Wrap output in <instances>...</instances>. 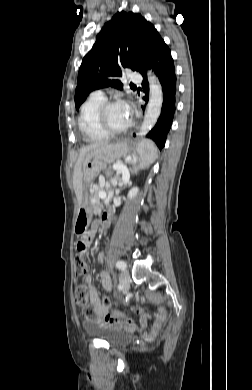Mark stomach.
<instances>
[{"label":"stomach","mask_w":252,"mask_h":390,"mask_svg":"<svg viewBox=\"0 0 252 390\" xmlns=\"http://www.w3.org/2000/svg\"><path fill=\"white\" fill-rule=\"evenodd\" d=\"M125 152V145L122 143L109 144L106 147L98 148L88 152L82 163V175L86 185L92 183L97 173L106 169L107 164L113 163ZM93 217V206L88 197H82L81 205L77 211L74 231L82 233L91 223Z\"/></svg>","instance_id":"stomach-1"}]
</instances>
